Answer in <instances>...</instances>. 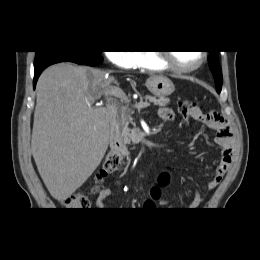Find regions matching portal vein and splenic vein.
I'll return each instance as SVG.
<instances>
[{"instance_id":"1","label":"portal vein and splenic vein","mask_w":260,"mask_h":260,"mask_svg":"<svg viewBox=\"0 0 260 260\" xmlns=\"http://www.w3.org/2000/svg\"><path fill=\"white\" fill-rule=\"evenodd\" d=\"M106 94L113 95V96H115L117 98H120V99L124 100L126 103H129V100H128L126 94L120 88L113 87ZM149 106H150L149 102L141 101L139 103H136L134 107L138 108V109H142V108H147Z\"/></svg>"}]
</instances>
